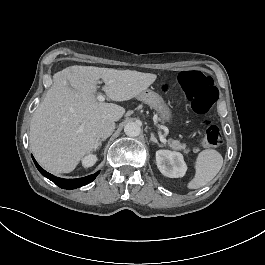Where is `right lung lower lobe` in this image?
Here are the masks:
<instances>
[{
    "instance_id": "right-lung-lower-lobe-1",
    "label": "right lung lower lobe",
    "mask_w": 265,
    "mask_h": 265,
    "mask_svg": "<svg viewBox=\"0 0 265 265\" xmlns=\"http://www.w3.org/2000/svg\"><path fill=\"white\" fill-rule=\"evenodd\" d=\"M33 161H34L36 167L38 168L39 172L43 176H45L49 180L53 181L56 185H58L59 187H61L63 189H75V188L81 187L83 185H86V184L92 182L96 178V176L99 174V172H96L95 174H92V175H89V176H86L83 178H79V179H62L59 177H55L52 174L46 172L44 169H42L37 164V162L35 161L34 158H33Z\"/></svg>"
}]
</instances>
